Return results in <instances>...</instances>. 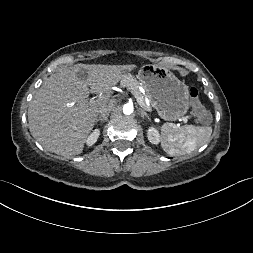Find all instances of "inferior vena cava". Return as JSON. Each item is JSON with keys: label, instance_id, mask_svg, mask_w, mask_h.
I'll return each mask as SVG.
<instances>
[{"label": "inferior vena cava", "instance_id": "obj_1", "mask_svg": "<svg viewBox=\"0 0 253 253\" xmlns=\"http://www.w3.org/2000/svg\"><path fill=\"white\" fill-rule=\"evenodd\" d=\"M115 105H116V102H115V101H110L109 103H107V104L101 106V107L99 108V111H98V112H99V115H100L101 117H106V116H108L109 113H110V111H112L113 108L115 107Z\"/></svg>", "mask_w": 253, "mask_h": 253}]
</instances>
